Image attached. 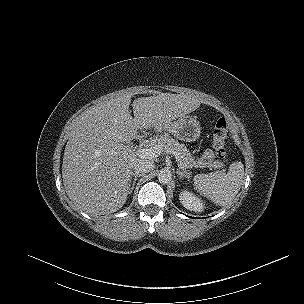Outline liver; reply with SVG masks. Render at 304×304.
<instances>
[{
  "mask_svg": "<svg viewBox=\"0 0 304 304\" xmlns=\"http://www.w3.org/2000/svg\"><path fill=\"white\" fill-rule=\"evenodd\" d=\"M130 102L131 96L123 95L88 108L66 144L64 188L74 205L89 215L114 213L126 203L138 154L124 144L133 140L138 130L162 128L201 104L195 96L161 93L135 99L133 118Z\"/></svg>",
  "mask_w": 304,
  "mask_h": 304,
  "instance_id": "obj_1",
  "label": "liver"
}]
</instances>
